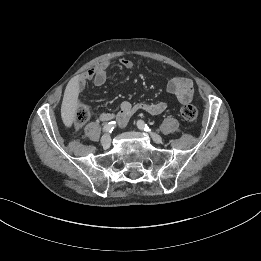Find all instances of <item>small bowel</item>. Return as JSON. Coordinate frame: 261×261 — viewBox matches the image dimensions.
Returning a JSON list of instances; mask_svg holds the SVG:
<instances>
[{"mask_svg":"<svg viewBox=\"0 0 261 261\" xmlns=\"http://www.w3.org/2000/svg\"><path fill=\"white\" fill-rule=\"evenodd\" d=\"M120 64L127 69L133 67V62L127 58H122ZM110 63L108 61L101 62L93 68H90L81 74L76 83L71 88V95L77 98L83 91L85 84L88 81H93L96 86L105 84L108 75V68ZM168 93L175 96L176 100L181 104H188L193 100L194 87L193 82L185 77H173L167 85ZM167 109V103L159 101L155 103H131L124 101L121 103L117 112H102L99 114V120L106 122L110 120H117L121 126H125L130 118L138 111H143L150 115H159Z\"/></svg>","mask_w":261,"mask_h":261,"instance_id":"obj_1","label":"small bowel"}]
</instances>
